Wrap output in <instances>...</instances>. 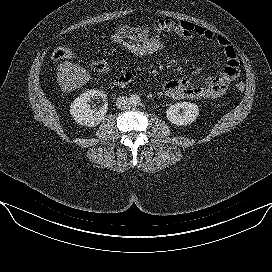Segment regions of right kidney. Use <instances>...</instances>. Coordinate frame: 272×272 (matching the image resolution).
Returning a JSON list of instances; mask_svg holds the SVG:
<instances>
[{
	"instance_id": "1",
	"label": "right kidney",
	"mask_w": 272,
	"mask_h": 272,
	"mask_svg": "<svg viewBox=\"0 0 272 272\" xmlns=\"http://www.w3.org/2000/svg\"><path fill=\"white\" fill-rule=\"evenodd\" d=\"M101 96L104 98L105 101L104 105L99 109V111H96L91 108L89 101L92 97H99ZM106 94L103 91L91 89L80 96H78L70 107V113L73 117V119L81 124L88 127H94L105 118V115L107 113L108 104L105 100Z\"/></svg>"
}]
</instances>
